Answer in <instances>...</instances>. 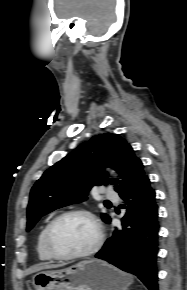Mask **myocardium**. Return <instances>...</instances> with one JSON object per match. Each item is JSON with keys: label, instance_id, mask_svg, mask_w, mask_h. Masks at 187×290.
I'll list each match as a JSON object with an SVG mask.
<instances>
[{"label": "myocardium", "instance_id": "obj_1", "mask_svg": "<svg viewBox=\"0 0 187 290\" xmlns=\"http://www.w3.org/2000/svg\"><path fill=\"white\" fill-rule=\"evenodd\" d=\"M73 215H80L83 217H86L93 225L96 233V238L94 241V244L86 251L81 253H75V254H64L60 253L56 250L53 244V231L55 226L59 221L62 219L73 216ZM45 246L48 251V253L54 258L58 260H75V259H84L88 258L95 253L99 251V249L102 246L103 243V230L101 227L100 222L98 221L97 217L89 210L81 209V208H75V209H69L66 210L60 214H58L56 217H54L49 224L47 225L46 231H45Z\"/></svg>", "mask_w": 187, "mask_h": 290}]
</instances>
